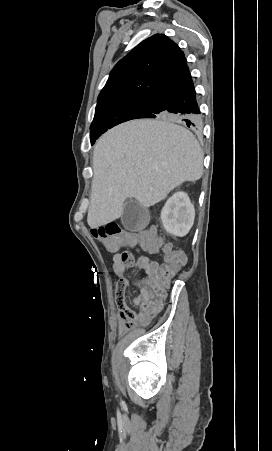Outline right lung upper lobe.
Masks as SVG:
<instances>
[{
    "mask_svg": "<svg viewBox=\"0 0 272 451\" xmlns=\"http://www.w3.org/2000/svg\"><path fill=\"white\" fill-rule=\"evenodd\" d=\"M187 65L184 53L165 35L137 45L110 73L98 104L127 97H149Z\"/></svg>",
    "mask_w": 272,
    "mask_h": 451,
    "instance_id": "right-lung-upper-lobe-1",
    "label": "right lung upper lobe"
}]
</instances>
